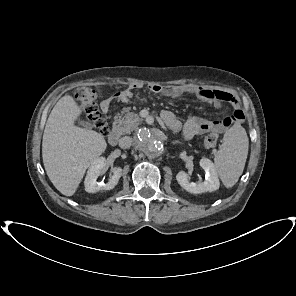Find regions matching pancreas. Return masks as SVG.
<instances>
[{
	"label": "pancreas",
	"instance_id": "obj_1",
	"mask_svg": "<svg viewBox=\"0 0 296 296\" xmlns=\"http://www.w3.org/2000/svg\"><path fill=\"white\" fill-rule=\"evenodd\" d=\"M141 122L142 119L138 114L124 111L122 114L115 116L114 126L120 134H128L140 125Z\"/></svg>",
	"mask_w": 296,
	"mask_h": 296
}]
</instances>
